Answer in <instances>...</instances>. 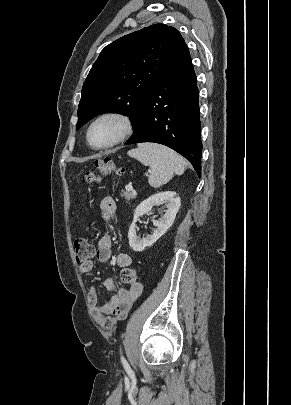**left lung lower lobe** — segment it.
<instances>
[{
  "label": "left lung lower lobe",
  "instance_id": "left-lung-lower-lobe-1",
  "mask_svg": "<svg viewBox=\"0 0 291 405\" xmlns=\"http://www.w3.org/2000/svg\"><path fill=\"white\" fill-rule=\"evenodd\" d=\"M199 90L185 44L149 90L142 118L126 145L153 142L187 158L201 176Z\"/></svg>",
  "mask_w": 291,
  "mask_h": 405
}]
</instances>
